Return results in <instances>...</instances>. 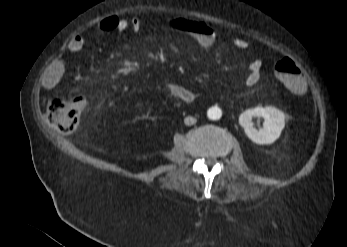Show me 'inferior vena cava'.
I'll list each match as a JSON object with an SVG mask.
<instances>
[{
    "mask_svg": "<svg viewBox=\"0 0 347 247\" xmlns=\"http://www.w3.org/2000/svg\"><path fill=\"white\" fill-rule=\"evenodd\" d=\"M197 122V119L195 117L188 116L184 119V123L188 126L193 125Z\"/></svg>",
    "mask_w": 347,
    "mask_h": 247,
    "instance_id": "obj_1",
    "label": "inferior vena cava"
}]
</instances>
